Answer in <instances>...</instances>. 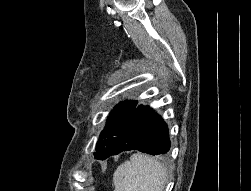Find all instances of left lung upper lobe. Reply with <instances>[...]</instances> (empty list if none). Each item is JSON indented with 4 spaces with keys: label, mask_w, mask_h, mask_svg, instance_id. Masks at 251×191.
<instances>
[{
    "label": "left lung upper lobe",
    "mask_w": 251,
    "mask_h": 191,
    "mask_svg": "<svg viewBox=\"0 0 251 191\" xmlns=\"http://www.w3.org/2000/svg\"><path fill=\"white\" fill-rule=\"evenodd\" d=\"M136 106L137 101L125 100L114 107L97 141L95 158L104 160L109 156L112 145Z\"/></svg>",
    "instance_id": "5c2ea615"
}]
</instances>
